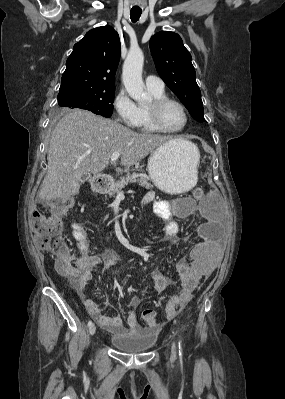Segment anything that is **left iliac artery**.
Wrapping results in <instances>:
<instances>
[{"label": "left iliac artery", "instance_id": "1", "mask_svg": "<svg viewBox=\"0 0 285 399\" xmlns=\"http://www.w3.org/2000/svg\"><path fill=\"white\" fill-rule=\"evenodd\" d=\"M182 355V345L181 342L179 341V356Z\"/></svg>", "mask_w": 285, "mask_h": 399}]
</instances>
